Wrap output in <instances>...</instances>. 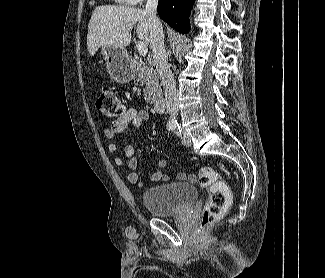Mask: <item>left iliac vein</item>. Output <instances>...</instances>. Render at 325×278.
<instances>
[{
  "instance_id": "1",
  "label": "left iliac vein",
  "mask_w": 325,
  "mask_h": 278,
  "mask_svg": "<svg viewBox=\"0 0 325 278\" xmlns=\"http://www.w3.org/2000/svg\"><path fill=\"white\" fill-rule=\"evenodd\" d=\"M182 144L185 146H191L192 141L189 135H187L186 133H184L183 137H182Z\"/></svg>"
}]
</instances>
